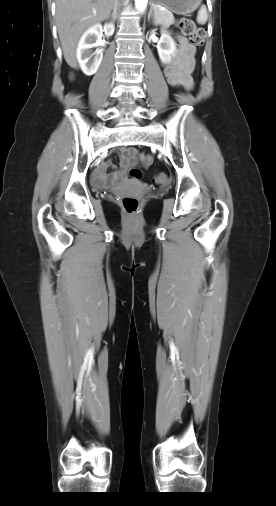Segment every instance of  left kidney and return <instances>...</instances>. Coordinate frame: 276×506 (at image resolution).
<instances>
[{"label":"left kidney","instance_id":"obj_1","mask_svg":"<svg viewBox=\"0 0 276 506\" xmlns=\"http://www.w3.org/2000/svg\"><path fill=\"white\" fill-rule=\"evenodd\" d=\"M157 50L162 62L167 63L176 53V44L167 30L161 31V37L157 44Z\"/></svg>","mask_w":276,"mask_h":506}]
</instances>
